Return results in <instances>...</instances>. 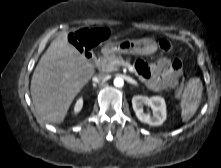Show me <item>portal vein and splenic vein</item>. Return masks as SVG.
Segmentation results:
<instances>
[{
	"mask_svg": "<svg viewBox=\"0 0 221 168\" xmlns=\"http://www.w3.org/2000/svg\"><path fill=\"white\" fill-rule=\"evenodd\" d=\"M118 63H119V64H122V65H124V66H127L130 71H133L132 66H131L130 64L125 63V62H118Z\"/></svg>",
	"mask_w": 221,
	"mask_h": 168,
	"instance_id": "portal-vein-and-splenic-vein-1",
	"label": "portal vein and splenic vein"
}]
</instances>
